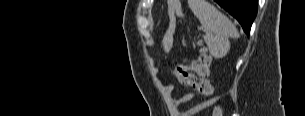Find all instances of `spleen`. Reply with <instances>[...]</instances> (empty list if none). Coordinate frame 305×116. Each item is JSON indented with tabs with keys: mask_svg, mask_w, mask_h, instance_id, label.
I'll return each instance as SVG.
<instances>
[{
	"mask_svg": "<svg viewBox=\"0 0 305 116\" xmlns=\"http://www.w3.org/2000/svg\"><path fill=\"white\" fill-rule=\"evenodd\" d=\"M188 4L202 27L211 35L208 42L211 48L223 46L227 50L229 48L228 38L239 37L234 24L207 1L189 0Z\"/></svg>",
	"mask_w": 305,
	"mask_h": 116,
	"instance_id": "3e777b00",
	"label": "spleen"
}]
</instances>
